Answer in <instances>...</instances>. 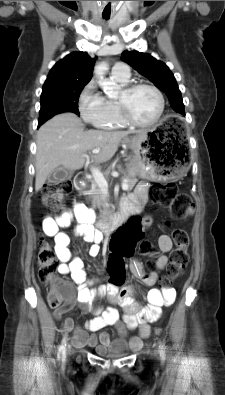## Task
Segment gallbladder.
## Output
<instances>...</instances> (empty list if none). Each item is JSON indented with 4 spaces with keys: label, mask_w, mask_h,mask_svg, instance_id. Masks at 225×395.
I'll return each instance as SVG.
<instances>
[{
    "label": "gallbladder",
    "mask_w": 225,
    "mask_h": 395,
    "mask_svg": "<svg viewBox=\"0 0 225 395\" xmlns=\"http://www.w3.org/2000/svg\"><path fill=\"white\" fill-rule=\"evenodd\" d=\"M73 173V171L60 166L47 177V181L51 184H58L62 181L70 179L73 176Z\"/></svg>",
    "instance_id": "gallbladder-1"
}]
</instances>
